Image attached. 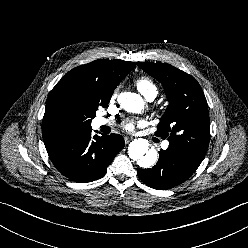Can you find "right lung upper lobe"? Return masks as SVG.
Here are the masks:
<instances>
[{"label": "right lung upper lobe", "mask_w": 248, "mask_h": 248, "mask_svg": "<svg viewBox=\"0 0 248 248\" xmlns=\"http://www.w3.org/2000/svg\"><path fill=\"white\" fill-rule=\"evenodd\" d=\"M134 67L133 62L108 59L95 60L78 66L64 75L52 89L46 108L55 100L70 97L79 92H92L100 98H111L116 86ZM59 133L63 132L51 127L46 118H43V139Z\"/></svg>", "instance_id": "right-lung-upper-lobe-1"}]
</instances>
